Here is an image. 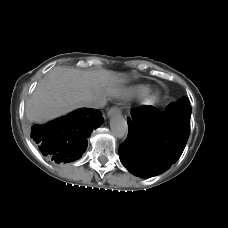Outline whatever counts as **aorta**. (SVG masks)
<instances>
[{
	"label": "aorta",
	"mask_w": 228,
	"mask_h": 228,
	"mask_svg": "<svg viewBox=\"0 0 228 228\" xmlns=\"http://www.w3.org/2000/svg\"><path fill=\"white\" fill-rule=\"evenodd\" d=\"M110 128L114 136L123 138L128 134V125L120 113H116L110 120Z\"/></svg>",
	"instance_id": "762f6f07"
}]
</instances>
